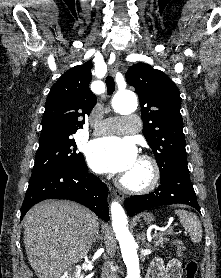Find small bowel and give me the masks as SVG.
<instances>
[{
  "label": "small bowel",
  "instance_id": "c3829d8e",
  "mask_svg": "<svg viewBox=\"0 0 221 278\" xmlns=\"http://www.w3.org/2000/svg\"><path fill=\"white\" fill-rule=\"evenodd\" d=\"M182 264L179 259L172 258L167 264L160 258L151 263L146 278H181Z\"/></svg>",
  "mask_w": 221,
  "mask_h": 278
}]
</instances>
